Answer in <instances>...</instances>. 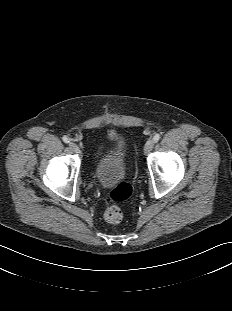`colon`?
<instances>
[{"instance_id": "1", "label": "colon", "mask_w": 232, "mask_h": 311, "mask_svg": "<svg viewBox=\"0 0 232 311\" xmlns=\"http://www.w3.org/2000/svg\"><path fill=\"white\" fill-rule=\"evenodd\" d=\"M131 193V184L128 182H122L107 194V206L103 212V218L106 222L110 224H117L121 221L122 210L117 203L127 200Z\"/></svg>"}]
</instances>
